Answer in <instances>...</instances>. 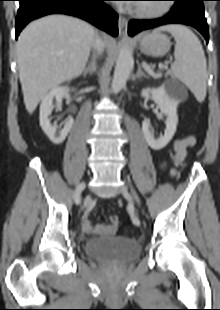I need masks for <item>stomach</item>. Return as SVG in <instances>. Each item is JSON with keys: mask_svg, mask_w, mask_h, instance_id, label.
<instances>
[{"mask_svg": "<svg viewBox=\"0 0 220 310\" xmlns=\"http://www.w3.org/2000/svg\"><path fill=\"white\" fill-rule=\"evenodd\" d=\"M171 45L170 38L160 32L145 34L140 40L141 51L152 57L165 55L170 50Z\"/></svg>", "mask_w": 220, "mask_h": 310, "instance_id": "1", "label": "stomach"}]
</instances>
